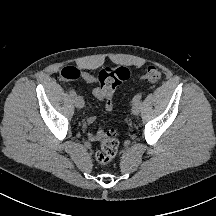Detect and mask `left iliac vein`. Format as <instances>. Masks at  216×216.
Listing matches in <instances>:
<instances>
[{"mask_svg":"<svg viewBox=\"0 0 216 216\" xmlns=\"http://www.w3.org/2000/svg\"><path fill=\"white\" fill-rule=\"evenodd\" d=\"M140 110H141V103L140 102L134 103L133 106H132V113L134 115H138Z\"/></svg>","mask_w":216,"mask_h":216,"instance_id":"obj_1","label":"left iliac vein"}]
</instances>
